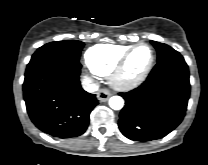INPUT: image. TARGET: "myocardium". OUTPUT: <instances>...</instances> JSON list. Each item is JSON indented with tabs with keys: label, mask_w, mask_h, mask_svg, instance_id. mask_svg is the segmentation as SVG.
<instances>
[{
	"label": "myocardium",
	"mask_w": 208,
	"mask_h": 165,
	"mask_svg": "<svg viewBox=\"0 0 208 165\" xmlns=\"http://www.w3.org/2000/svg\"><path fill=\"white\" fill-rule=\"evenodd\" d=\"M146 47L150 50L151 56L147 66L137 75L129 77L127 75V65L133 53L141 48ZM155 62V52L152 46L147 43H138L130 47L120 58L115 68L111 72L112 85L121 90H130L140 85L149 75Z\"/></svg>",
	"instance_id": "1"
}]
</instances>
